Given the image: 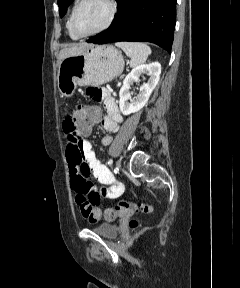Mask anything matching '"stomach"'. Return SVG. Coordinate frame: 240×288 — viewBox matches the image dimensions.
<instances>
[{
    "label": "stomach",
    "instance_id": "stomach-1",
    "mask_svg": "<svg viewBox=\"0 0 240 288\" xmlns=\"http://www.w3.org/2000/svg\"><path fill=\"white\" fill-rule=\"evenodd\" d=\"M124 59L112 45H90L78 54L61 60L57 86L62 97H71L77 86H100L117 78Z\"/></svg>",
    "mask_w": 240,
    "mask_h": 288
}]
</instances>
